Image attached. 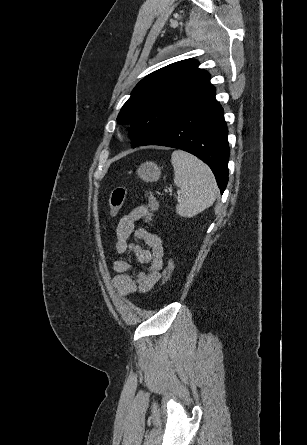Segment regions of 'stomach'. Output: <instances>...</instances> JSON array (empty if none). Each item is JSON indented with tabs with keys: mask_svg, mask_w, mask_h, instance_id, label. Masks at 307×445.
<instances>
[{
	"mask_svg": "<svg viewBox=\"0 0 307 445\" xmlns=\"http://www.w3.org/2000/svg\"><path fill=\"white\" fill-rule=\"evenodd\" d=\"M137 174L139 178L145 180V182H154V180H159L161 174V168L152 160H147V162H142L140 164Z\"/></svg>",
	"mask_w": 307,
	"mask_h": 445,
	"instance_id": "stomach-1",
	"label": "stomach"
}]
</instances>
